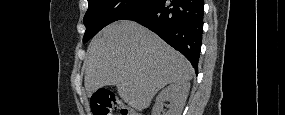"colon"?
I'll return each instance as SVG.
<instances>
[{
	"label": "colon",
	"mask_w": 285,
	"mask_h": 115,
	"mask_svg": "<svg viewBox=\"0 0 285 115\" xmlns=\"http://www.w3.org/2000/svg\"><path fill=\"white\" fill-rule=\"evenodd\" d=\"M91 109L94 115H111L113 111H119L122 115L137 114L113 92L106 89H100L93 95Z\"/></svg>",
	"instance_id": "1"
}]
</instances>
